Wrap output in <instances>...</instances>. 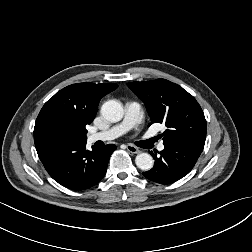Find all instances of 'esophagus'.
Listing matches in <instances>:
<instances>
[{"label": "esophagus", "mask_w": 252, "mask_h": 252, "mask_svg": "<svg viewBox=\"0 0 252 252\" xmlns=\"http://www.w3.org/2000/svg\"><path fill=\"white\" fill-rule=\"evenodd\" d=\"M126 149H127L130 153H133V154H138V153L141 152L137 147H135V146H133V145H131V144H127V145H126Z\"/></svg>", "instance_id": "obj_1"}]
</instances>
